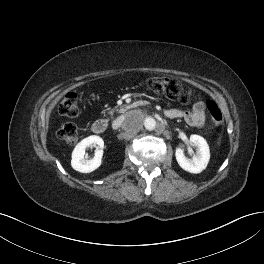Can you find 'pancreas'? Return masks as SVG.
<instances>
[{"label":"pancreas","mask_w":264,"mask_h":264,"mask_svg":"<svg viewBox=\"0 0 264 264\" xmlns=\"http://www.w3.org/2000/svg\"><path fill=\"white\" fill-rule=\"evenodd\" d=\"M116 111H117V112H122V110H118V109H117ZM114 112H115V109H111V110H109L108 114H109V115H113ZM103 113H105V111H104Z\"/></svg>","instance_id":"pancreas-1"}]
</instances>
